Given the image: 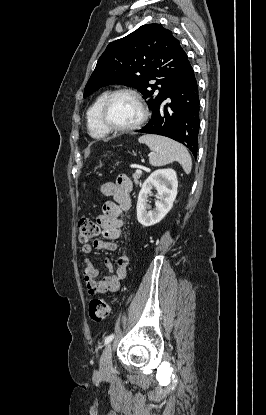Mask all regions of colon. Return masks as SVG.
<instances>
[{
  "instance_id": "1",
  "label": "colon",
  "mask_w": 266,
  "mask_h": 415,
  "mask_svg": "<svg viewBox=\"0 0 266 415\" xmlns=\"http://www.w3.org/2000/svg\"><path fill=\"white\" fill-rule=\"evenodd\" d=\"M79 241L88 243L99 233V226L89 218H83L79 221ZM109 305L103 298H94L89 303V316L95 322L104 321L109 315Z\"/></svg>"
}]
</instances>
